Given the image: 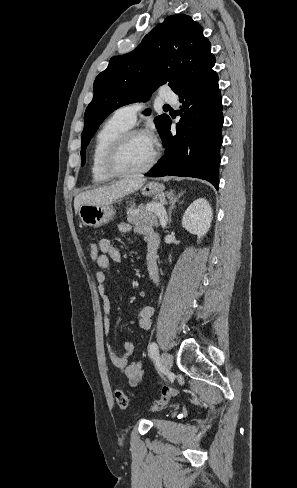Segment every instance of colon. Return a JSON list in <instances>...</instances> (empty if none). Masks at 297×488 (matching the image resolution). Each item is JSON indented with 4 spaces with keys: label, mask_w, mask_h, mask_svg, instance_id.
Instances as JSON below:
<instances>
[{
    "label": "colon",
    "mask_w": 297,
    "mask_h": 488,
    "mask_svg": "<svg viewBox=\"0 0 297 488\" xmlns=\"http://www.w3.org/2000/svg\"><path fill=\"white\" fill-rule=\"evenodd\" d=\"M89 253H90V258L92 261H97L100 255V250L99 247L96 243H90L89 245ZM178 394V390L172 387H164L162 390V395L161 397L156 400L153 405L151 406V411H160L161 409L164 408V406L167 404L169 399L175 395ZM115 400L118 405V407L121 410H125L128 407L129 404V399L127 395L125 394L124 391L122 390H116L115 391Z\"/></svg>",
    "instance_id": "1"
}]
</instances>
